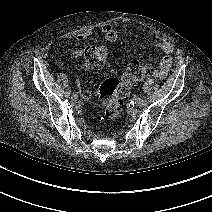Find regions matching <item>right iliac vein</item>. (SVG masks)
Returning <instances> with one entry per match:
<instances>
[{
	"label": "right iliac vein",
	"instance_id": "obj_1",
	"mask_svg": "<svg viewBox=\"0 0 212 212\" xmlns=\"http://www.w3.org/2000/svg\"><path fill=\"white\" fill-rule=\"evenodd\" d=\"M71 99H72L73 101H76V100L78 99V95H77V94H73V95L71 96Z\"/></svg>",
	"mask_w": 212,
	"mask_h": 212
}]
</instances>
